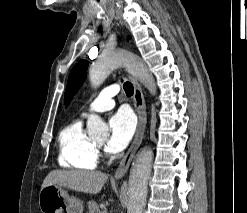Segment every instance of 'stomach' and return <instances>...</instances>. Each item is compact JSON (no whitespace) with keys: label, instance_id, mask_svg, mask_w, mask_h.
Instances as JSON below:
<instances>
[{"label":"stomach","instance_id":"obj_1","mask_svg":"<svg viewBox=\"0 0 247 213\" xmlns=\"http://www.w3.org/2000/svg\"><path fill=\"white\" fill-rule=\"evenodd\" d=\"M39 208L42 213H83L82 202L58 185H48L40 190Z\"/></svg>","mask_w":247,"mask_h":213}]
</instances>
